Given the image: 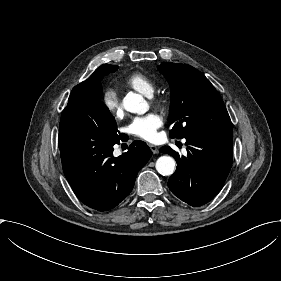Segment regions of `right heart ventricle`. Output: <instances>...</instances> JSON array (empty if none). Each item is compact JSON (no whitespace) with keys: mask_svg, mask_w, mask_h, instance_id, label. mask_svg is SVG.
Returning a JSON list of instances; mask_svg holds the SVG:
<instances>
[{"mask_svg":"<svg viewBox=\"0 0 281 281\" xmlns=\"http://www.w3.org/2000/svg\"><path fill=\"white\" fill-rule=\"evenodd\" d=\"M125 89H132L144 96L152 97L154 85L152 81L140 72H134L124 78L121 82Z\"/></svg>","mask_w":281,"mask_h":281,"instance_id":"obj_1","label":"right heart ventricle"}]
</instances>
